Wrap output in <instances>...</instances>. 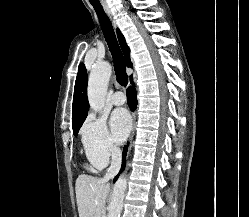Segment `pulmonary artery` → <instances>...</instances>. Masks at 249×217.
Segmentation results:
<instances>
[{"label":"pulmonary artery","mask_w":249,"mask_h":217,"mask_svg":"<svg viewBox=\"0 0 249 217\" xmlns=\"http://www.w3.org/2000/svg\"><path fill=\"white\" fill-rule=\"evenodd\" d=\"M111 101H112V103H113L114 105L119 106V105H122V104L125 103L126 98H125V95H124L122 92L117 91V92H115V93L112 95Z\"/></svg>","instance_id":"pulmonary-artery-1"}]
</instances>
